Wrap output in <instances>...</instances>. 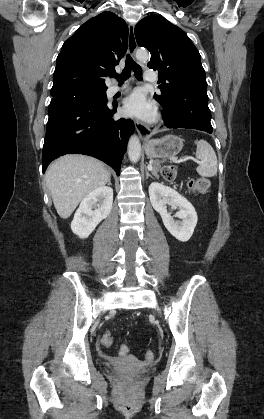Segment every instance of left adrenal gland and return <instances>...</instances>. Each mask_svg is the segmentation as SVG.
Instances as JSON below:
<instances>
[{"mask_svg": "<svg viewBox=\"0 0 264 419\" xmlns=\"http://www.w3.org/2000/svg\"><path fill=\"white\" fill-rule=\"evenodd\" d=\"M148 177L153 178V176H151V174L146 170V178L148 179Z\"/></svg>", "mask_w": 264, "mask_h": 419, "instance_id": "obj_1", "label": "left adrenal gland"}]
</instances>
